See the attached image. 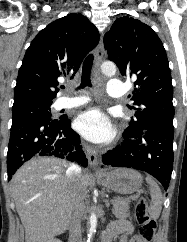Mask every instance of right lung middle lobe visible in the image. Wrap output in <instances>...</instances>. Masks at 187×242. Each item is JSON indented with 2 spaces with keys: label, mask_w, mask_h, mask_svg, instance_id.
I'll use <instances>...</instances> for the list:
<instances>
[{
  "label": "right lung middle lobe",
  "mask_w": 187,
  "mask_h": 242,
  "mask_svg": "<svg viewBox=\"0 0 187 242\" xmlns=\"http://www.w3.org/2000/svg\"><path fill=\"white\" fill-rule=\"evenodd\" d=\"M52 103H28L12 107V125L27 120L52 119L50 106Z\"/></svg>",
  "instance_id": "1"
}]
</instances>
